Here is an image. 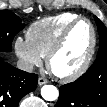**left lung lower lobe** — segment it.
<instances>
[{
	"instance_id": "obj_1",
	"label": "left lung lower lobe",
	"mask_w": 107,
	"mask_h": 107,
	"mask_svg": "<svg viewBox=\"0 0 107 107\" xmlns=\"http://www.w3.org/2000/svg\"><path fill=\"white\" fill-rule=\"evenodd\" d=\"M85 76L60 87L55 107H107V63L103 51H98Z\"/></svg>"
}]
</instances>
